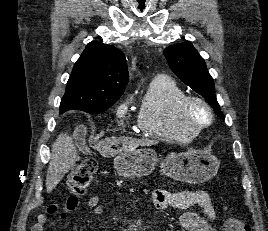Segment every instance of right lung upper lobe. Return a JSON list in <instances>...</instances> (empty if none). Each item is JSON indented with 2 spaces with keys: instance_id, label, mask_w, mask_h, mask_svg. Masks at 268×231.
Returning <instances> with one entry per match:
<instances>
[{
  "instance_id": "right-lung-upper-lobe-1",
  "label": "right lung upper lobe",
  "mask_w": 268,
  "mask_h": 231,
  "mask_svg": "<svg viewBox=\"0 0 268 231\" xmlns=\"http://www.w3.org/2000/svg\"><path fill=\"white\" fill-rule=\"evenodd\" d=\"M127 61L113 45L90 42L74 65L61 104L119 99L128 83Z\"/></svg>"
}]
</instances>
